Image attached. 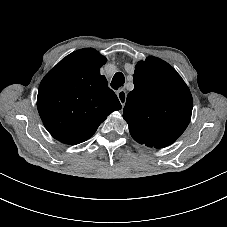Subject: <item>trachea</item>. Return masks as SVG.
Instances as JSON below:
<instances>
[{
  "label": "trachea",
  "instance_id": "1",
  "mask_svg": "<svg viewBox=\"0 0 227 227\" xmlns=\"http://www.w3.org/2000/svg\"><path fill=\"white\" fill-rule=\"evenodd\" d=\"M125 82L124 75L121 72H117L112 81H111V87L115 90H118Z\"/></svg>",
  "mask_w": 227,
  "mask_h": 227
}]
</instances>
